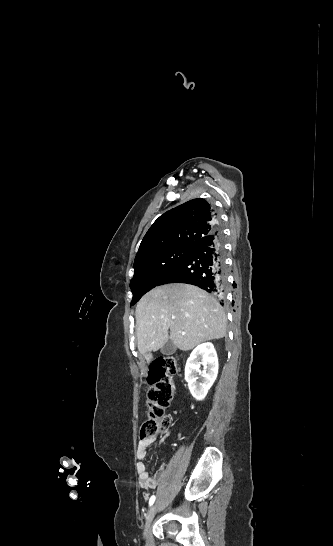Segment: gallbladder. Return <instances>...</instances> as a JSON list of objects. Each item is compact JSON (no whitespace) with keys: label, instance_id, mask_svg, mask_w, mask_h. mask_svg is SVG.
I'll return each instance as SVG.
<instances>
[{"label":"gallbladder","instance_id":"bac80fb5","mask_svg":"<svg viewBox=\"0 0 333 546\" xmlns=\"http://www.w3.org/2000/svg\"><path fill=\"white\" fill-rule=\"evenodd\" d=\"M176 345L172 341H167L161 348V353L163 355L169 356L176 352Z\"/></svg>","mask_w":333,"mask_h":546}]
</instances>
